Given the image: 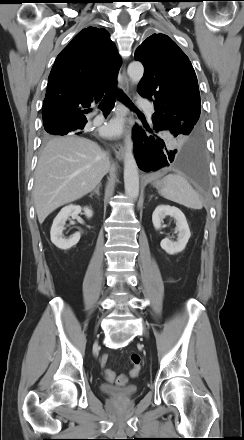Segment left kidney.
<instances>
[{"label": "left kidney", "mask_w": 244, "mask_h": 440, "mask_svg": "<svg viewBox=\"0 0 244 440\" xmlns=\"http://www.w3.org/2000/svg\"><path fill=\"white\" fill-rule=\"evenodd\" d=\"M166 216L173 217L176 220L177 241L165 238L161 241L160 246L168 254H176L183 251L191 236L190 229L183 212L177 207L169 205H159L152 214V222L156 230L161 229V223Z\"/></svg>", "instance_id": "left-kidney-1"}]
</instances>
